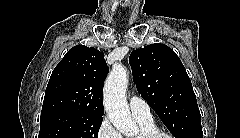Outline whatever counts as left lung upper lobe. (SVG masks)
<instances>
[{
  "label": "left lung upper lobe",
  "instance_id": "obj_1",
  "mask_svg": "<svg viewBox=\"0 0 240 138\" xmlns=\"http://www.w3.org/2000/svg\"><path fill=\"white\" fill-rule=\"evenodd\" d=\"M137 91L175 138H203L192 83L177 54L155 43L129 57Z\"/></svg>",
  "mask_w": 240,
  "mask_h": 138
}]
</instances>
